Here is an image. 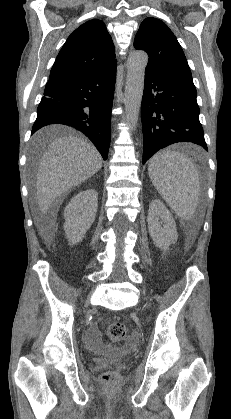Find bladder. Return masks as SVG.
Returning <instances> with one entry per match:
<instances>
[{
    "instance_id": "obj_1",
    "label": "bladder",
    "mask_w": 231,
    "mask_h": 419,
    "mask_svg": "<svg viewBox=\"0 0 231 419\" xmlns=\"http://www.w3.org/2000/svg\"><path fill=\"white\" fill-rule=\"evenodd\" d=\"M130 357L123 355H112V356H92L91 360L94 363H125L129 361Z\"/></svg>"
}]
</instances>
